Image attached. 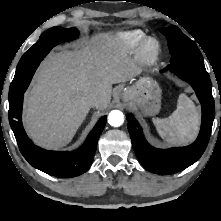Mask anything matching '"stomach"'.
<instances>
[{
    "instance_id": "1",
    "label": "stomach",
    "mask_w": 221,
    "mask_h": 221,
    "mask_svg": "<svg viewBox=\"0 0 221 221\" xmlns=\"http://www.w3.org/2000/svg\"><path fill=\"white\" fill-rule=\"evenodd\" d=\"M162 90L150 77H141L136 83L124 90L126 102L137 106L144 115H156L161 107Z\"/></svg>"
}]
</instances>
